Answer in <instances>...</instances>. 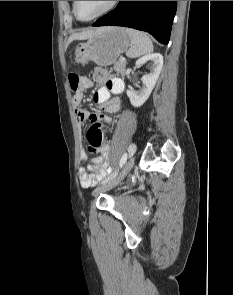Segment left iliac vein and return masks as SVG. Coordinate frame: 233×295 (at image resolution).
<instances>
[{
  "label": "left iliac vein",
  "mask_w": 233,
  "mask_h": 295,
  "mask_svg": "<svg viewBox=\"0 0 233 295\" xmlns=\"http://www.w3.org/2000/svg\"><path fill=\"white\" fill-rule=\"evenodd\" d=\"M133 165H134V157L130 156L128 161L125 163L122 171L116 177H114L112 180H110L109 182H107L105 184H102L101 186L97 187L93 191V195L97 196V195H99V194H101V193H103L105 191H108L111 188L115 187L119 182H121L126 177V175L132 169Z\"/></svg>",
  "instance_id": "1"
}]
</instances>
